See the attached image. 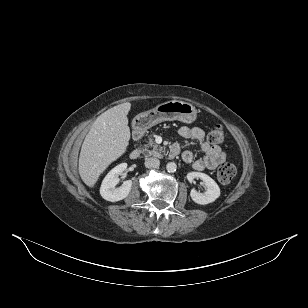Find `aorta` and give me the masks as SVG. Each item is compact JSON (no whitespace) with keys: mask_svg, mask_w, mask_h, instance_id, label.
<instances>
[{"mask_svg":"<svg viewBox=\"0 0 308 308\" xmlns=\"http://www.w3.org/2000/svg\"><path fill=\"white\" fill-rule=\"evenodd\" d=\"M176 168H177V166H176V164H175L174 162H169V163H167V165H166V170H167L168 172H170V173L175 172V171H176Z\"/></svg>","mask_w":308,"mask_h":308,"instance_id":"obj_1","label":"aorta"}]
</instances>
